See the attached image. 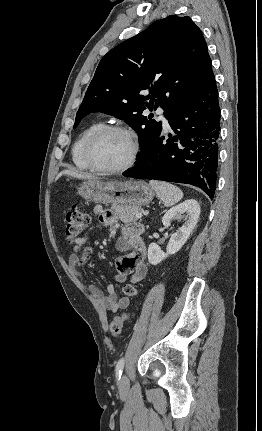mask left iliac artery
<instances>
[{"instance_id": "left-iliac-artery-1", "label": "left iliac artery", "mask_w": 262, "mask_h": 431, "mask_svg": "<svg viewBox=\"0 0 262 431\" xmlns=\"http://www.w3.org/2000/svg\"><path fill=\"white\" fill-rule=\"evenodd\" d=\"M124 364H125V361L123 358H121L116 365V377H119V378L121 377V374H122L123 368H124Z\"/></svg>"}]
</instances>
